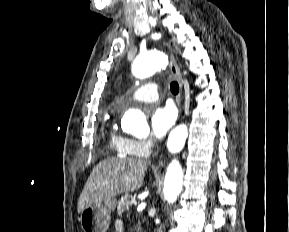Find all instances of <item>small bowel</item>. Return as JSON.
<instances>
[{
  "mask_svg": "<svg viewBox=\"0 0 289 232\" xmlns=\"http://www.w3.org/2000/svg\"><path fill=\"white\" fill-rule=\"evenodd\" d=\"M115 231L116 232H123L124 231V225L121 220H116L114 223Z\"/></svg>",
  "mask_w": 289,
  "mask_h": 232,
  "instance_id": "small-bowel-1",
  "label": "small bowel"
}]
</instances>
